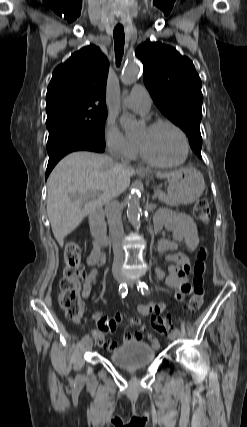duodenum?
Returning a JSON list of instances; mask_svg holds the SVG:
<instances>
[{
    "mask_svg": "<svg viewBox=\"0 0 247 427\" xmlns=\"http://www.w3.org/2000/svg\"><path fill=\"white\" fill-rule=\"evenodd\" d=\"M89 224H90L91 234L95 240V243L99 246H107L108 237H107L106 228L103 222L102 208H97L90 213Z\"/></svg>",
    "mask_w": 247,
    "mask_h": 427,
    "instance_id": "410a0bca",
    "label": "duodenum"
}]
</instances>
